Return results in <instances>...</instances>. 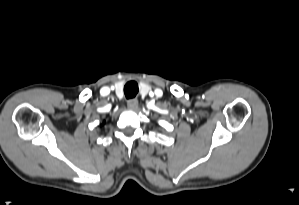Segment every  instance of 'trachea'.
I'll return each mask as SVG.
<instances>
[{"mask_svg": "<svg viewBox=\"0 0 299 205\" xmlns=\"http://www.w3.org/2000/svg\"><path fill=\"white\" fill-rule=\"evenodd\" d=\"M138 90V84L135 81H129L124 86V93L127 99L134 98Z\"/></svg>", "mask_w": 299, "mask_h": 205, "instance_id": "trachea-1", "label": "trachea"}]
</instances>
